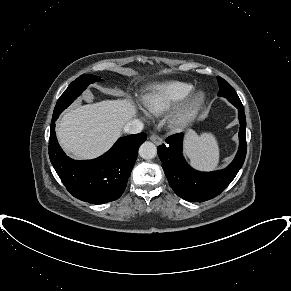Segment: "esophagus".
Segmentation results:
<instances>
[{
	"label": "esophagus",
	"instance_id": "esophagus-1",
	"mask_svg": "<svg viewBox=\"0 0 291 291\" xmlns=\"http://www.w3.org/2000/svg\"><path fill=\"white\" fill-rule=\"evenodd\" d=\"M150 140L153 142V143H155L156 145H160L161 143H162V139H161V137H159L158 135H156V134H151V136H150Z\"/></svg>",
	"mask_w": 291,
	"mask_h": 291
}]
</instances>
